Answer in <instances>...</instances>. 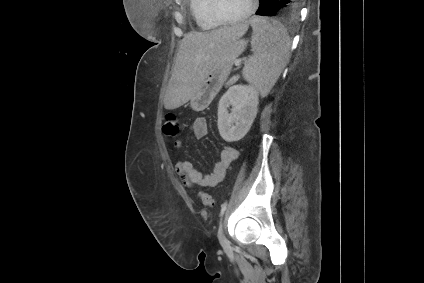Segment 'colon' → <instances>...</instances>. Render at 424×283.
Returning a JSON list of instances; mask_svg holds the SVG:
<instances>
[{"mask_svg":"<svg viewBox=\"0 0 424 283\" xmlns=\"http://www.w3.org/2000/svg\"><path fill=\"white\" fill-rule=\"evenodd\" d=\"M162 131L164 135L169 138H175L178 136L180 124L175 114L169 113L165 116ZM198 196L205 206L212 207L214 205L213 198L210 194L206 192H199Z\"/></svg>","mask_w":424,"mask_h":283,"instance_id":"5ec220e1","label":"colon"}]
</instances>
